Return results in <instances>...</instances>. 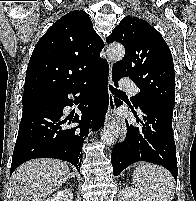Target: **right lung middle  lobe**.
<instances>
[{
  "instance_id": "obj_1",
  "label": "right lung middle lobe",
  "mask_w": 196,
  "mask_h": 201,
  "mask_svg": "<svg viewBox=\"0 0 196 201\" xmlns=\"http://www.w3.org/2000/svg\"><path fill=\"white\" fill-rule=\"evenodd\" d=\"M46 96L47 95L23 97V99H22V105H26V104H29V103L37 102V101L45 98Z\"/></svg>"
}]
</instances>
